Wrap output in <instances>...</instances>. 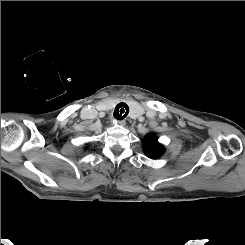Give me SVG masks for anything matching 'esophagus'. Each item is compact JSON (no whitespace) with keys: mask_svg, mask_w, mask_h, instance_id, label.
Here are the masks:
<instances>
[{"mask_svg":"<svg viewBox=\"0 0 245 245\" xmlns=\"http://www.w3.org/2000/svg\"><path fill=\"white\" fill-rule=\"evenodd\" d=\"M116 123H118L121 126H124L126 124V122L124 120H115Z\"/></svg>","mask_w":245,"mask_h":245,"instance_id":"obj_1","label":"esophagus"}]
</instances>
